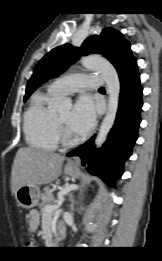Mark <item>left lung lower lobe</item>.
I'll list each match as a JSON object with an SVG mask.
<instances>
[{"mask_svg": "<svg viewBox=\"0 0 162 261\" xmlns=\"http://www.w3.org/2000/svg\"><path fill=\"white\" fill-rule=\"evenodd\" d=\"M118 74L121 85L119 106L108 139L96 153L93 136L81 147L67 154L69 157L79 156L82 164L88 162V171L101 177L110 186H114L115 179L122 175L124 162L132 153L138 137L143 105V88L136 60L126 65Z\"/></svg>", "mask_w": 162, "mask_h": 261, "instance_id": "0a47b994", "label": "left lung lower lobe"}]
</instances>
